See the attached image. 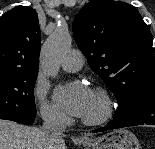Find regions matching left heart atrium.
I'll return each mask as SVG.
<instances>
[{
	"label": "left heart atrium",
	"instance_id": "obj_1",
	"mask_svg": "<svg viewBox=\"0 0 155 149\" xmlns=\"http://www.w3.org/2000/svg\"><path fill=\"white\" fill-rule=\"evenodd\" d=\"M92 91L83 83L75 82L67 88H58L55 100L71 115L82 117L89 103Z\"/></svg>",
	"mask_w": 155,
	"mask_h": 149
}]
</instances>
